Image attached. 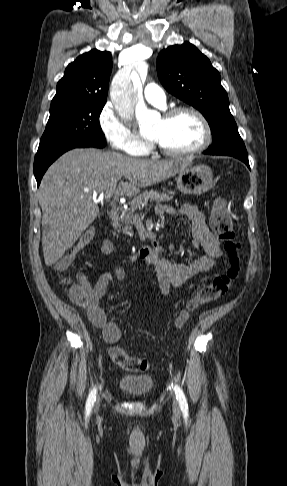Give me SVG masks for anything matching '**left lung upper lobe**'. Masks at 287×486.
Instances as JSON below:
<instances>
[{
	"mask_svg": "<svg viewBox=\"0 0 287 486\" xmlns=\"http://www.w3.org/2000/svg\"><path fill=\"white\" fill-rule=\"evenodd\" d=\"M157 73L164 88L198 109L208 121L212 145L204 154L248 157L219 72L193 44L169 46L157 59Z\"/></svg>",
	"mask_w": 287,
	"mask_h": 486,
	"instance_id": "5c2ea615",
	"label": "left lung upper lobe"
}]
</instances>
